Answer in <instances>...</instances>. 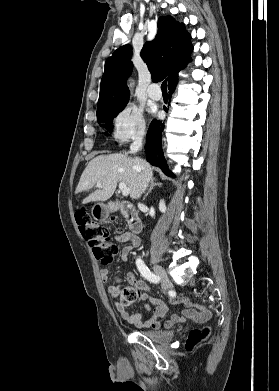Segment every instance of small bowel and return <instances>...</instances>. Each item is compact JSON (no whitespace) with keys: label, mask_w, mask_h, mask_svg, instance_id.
I'll return each instance as SVG.
<instances>
[{"label":"small bowel","mask_w":279,"mask_h":391,"mask_svg":"<svg viewBox=\"0 0 279 391\" xmlns=\"http://www.w3.org/2000/svg\"><path fill=\"white\" fill-rule=\"evenodd\" d=\"M116 241L120 243L130 242L129 245L122 249L121 259L123 261H127L132 251L135 250L139 245L138 238L129 233L118 234L116 236ZM100 276L102 281L106 282L109 277V271L107 269H102ZM128 282L140 294V300L148 311L151 310L150 304L155 306L150 317L143 319L140 313H129L126 311L125 308L117 301L118 290L113 286L108 287V293L115 301L117 310L119 311L122 319L129 324L135 325L136 327H146L153 329L170 328L177 323H182L189 319L196 322H206L211 317L209 310H207L205 307L193 303L183 295H178L170 298V304L182 305L183 309L181 314L173 315L164 324H162L160 320L165 316L168 310L167 304L160 299L150 298V288L147 283L142 280H138L133 274L128 275ZM194 307H197L198 309L196 310Z\"/></svg>","instance_id":"small-bowel-1"}]
</instances>
